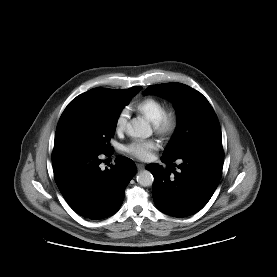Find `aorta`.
Here are the masks:
<instances>
[{
	"label": "aorta",
	"mask_w": 277,
	"mask_h": 277,
	"mask_svg": "<svg viewBox=\"0 0 277 277\" xmlns=\"http://www.w3.org/2000/svg\"><path fill=\"white\" fill-rule=\"evenodd\" d=\"M127 133L128 135L135 138H147L151 136L152 129L150 125L143 119L134 118L127 125ZM136 179L137 182L144 187L151 186L154 181L153 175L148 170L140 171Z\"/></svg>",
	"instance_id": "obj_1"
}]
</instances>
